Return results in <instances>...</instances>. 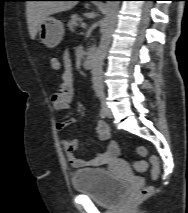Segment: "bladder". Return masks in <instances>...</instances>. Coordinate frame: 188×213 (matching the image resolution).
I'll return each instance as SVG.
<instances>
[{
	"label": "bladder",
	"instance_id": "31cf9c89",
	"mask_svg": "<svg viewBox=\"0 0 188 213\" xmlns=\"http://www.w3.org/2000/svg\"><path fill=\"white\" fill-rule=\"evenodd\" d=\"M71 182L75 190L83 192L102 206L114 205L128 190L125 180L115 178L101 168L74 171Z\"/></svg>",
	"mask_w": 188,
	"mask_h": 213
}]
</instances>
